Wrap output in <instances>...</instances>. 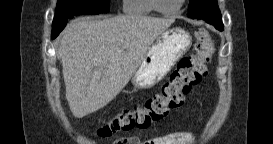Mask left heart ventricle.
Wrapping results in <instances>:
<instances>
[{
    "instance_id": "obj_1",
    "label": "left heart ventricle",
    "mask_w": 273,
    "mask_h": 144,
    "mask_svg": "<svg viewBox=\"0 0 273 144\" xmlns=\"http://www.w3.org/2000/svg\"><path fill=\"white\" fill-rule=\"evenodd\" d=\"M180 0H160V6L163 9H174L178 6Z\"/></svg>"
}]
</instances>
